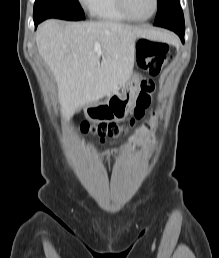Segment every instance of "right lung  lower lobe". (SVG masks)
I'll list each match as a JSON object with an SVG mask.
<instances>
[{"mask_svg":"<svg viewBox=\"0 0 219 258\" xmlns=\"http://www.w3.org/2000/svg\"><path fill=\"white\" fill-rule=\"evenodd\" d=\"M53 15H55L57 17H52V18H60V19H64V20L78 21V20H84L85 19L84 16H74V15L65 16V15H63L61 13H54ZM40 22H42V21H34L35 28L37 27V25Z\"/></svg>","mask_w":219,"mask_h":258,"instance_id":"obj_1","label":"right lung lower lobe"}]
</instances>
